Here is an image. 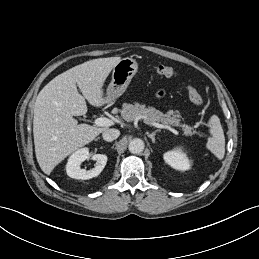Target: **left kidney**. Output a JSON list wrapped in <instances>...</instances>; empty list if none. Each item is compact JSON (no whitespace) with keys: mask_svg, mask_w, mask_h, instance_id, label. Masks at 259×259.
<instances>
[{"mask_svg":"<svg viewBox=\"0 0 259 259\" xmlns=\"http://www.w3.org/2000/svg\"><path fill=\"white\" fill-rule=\"evenodd\" d=\"M165 162L172 168L177 170H188L190 169V161L186 156L177 151L166 152L163 156Z\"/></svg>","mask_w":259,"mask_h":259,"instance_id":"5707ae66","label":"left kidney"}]
</instances>
